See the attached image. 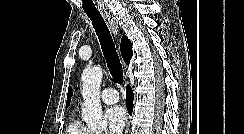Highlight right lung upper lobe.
Listing matches in <instances>:
<instances>
[{"instance_id": "1", "label": "right lung upper lobe", "mask_w": 244, "mask_h": 134, "mask_svg": "<svg viewBox=\"0 0 244 134\" xmlns=\"http://www.w3.org/2000/svg\"><path fill=\"white\" fill-rule=\"evenodd\" d=\"M120 50L125 63L129 64L132 58V48H131V41L125 36H123L121 39ZM71 96H72V88L69 87L68 95H67V104H66L67 107L70 104Z\"/></svg>"}]
</instances>
